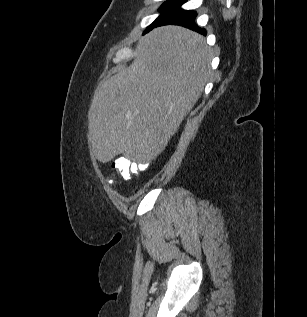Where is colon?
Listing matches in <instances>:
<instances>
[{
    "instance_id": "5ec220e1",
    "label": "colon",
    "mask_w": 307,
    "mask_h": 317,
    "mask_svg": "<svg viewBox=\"0 0 307 317\" xmlns=\"http://www.w3.org/2000/svg\"><path fill=\"white\" fill-rule=\"evenodd\" d=\"M112 168L120 178L128 180L139 171L144 170L146 165L143 163H131L127 159L121 158L116 159L112 163Z\"/></svg>"
}]
</instances>
